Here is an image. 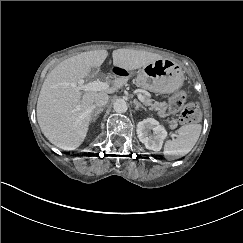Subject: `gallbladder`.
Listing matches in <instances>:
<instances>
[{"label":"gallbladder","mask_w":243,"mask_h":243,"mask_svg":"<svg viewBox=\"0 0 243 243\" xmlns=\"http://www.w3.org/2000/svg\"><path fill=\"white\" fill-rule=\"evenodd\" d=\"M90 72H91V75L97 74L99 72V68L98 67H92Z\"/></svg>","instance_id":"gallbladder-1"}]
</instances>
